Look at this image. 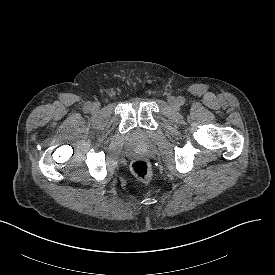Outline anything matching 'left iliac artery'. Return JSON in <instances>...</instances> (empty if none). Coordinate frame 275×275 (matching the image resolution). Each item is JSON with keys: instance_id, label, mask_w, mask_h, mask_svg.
I'll list each match as a JSON object with an SVG mask.
<instances>
[{"instance_id": "left-iliac-artery-1", "label": "left iliac artery", "mask_w": 275, "mask_h": 275, "mask_svg": "<svg viewBox=\"0 0 275 275\" xmlns=\"http://www.w3.org/2000/svg\"><path fill=\"white\" fill-rule=\"evenodd\" d=\"M178 101H179V104H180V105H183V104L185 103V98L182 97V96H180V97L178 98Z\"/></svg>"}]
</instances>
